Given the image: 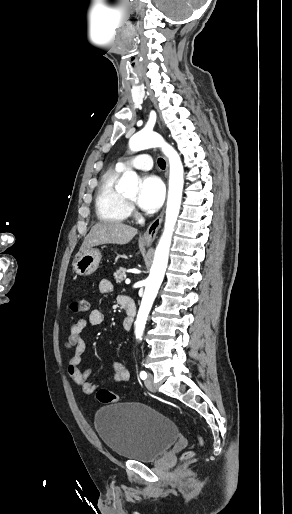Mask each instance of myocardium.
I'll list each match as a JSON object with an SVG mask.
<instances>
[{"mask_svg":"<svg viewBox=\"0 0 292 514\" xmlns=\"http://www.w3.org/2000/svg\"><path fill=\"white\" fill-rule=\"evenodd\" d=\"M120 196H121V199L123 200V202L125 203V205L127 206V208L128 209H132V207H133V200H129L123 194H121Z\"/></svg>","mask_w":292,"mask_h":514,"instance_id":"f54148a6","label":"myocardium"}]
</instances>
